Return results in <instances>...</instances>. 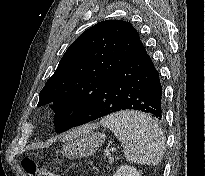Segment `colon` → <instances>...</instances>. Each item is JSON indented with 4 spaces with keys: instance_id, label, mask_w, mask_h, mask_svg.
<instances>
[{
    "instance_id": "5ec220e1",
    "label": "colon",
    "mask_w": 205,
    "mask_h": 176,
    "mask_svg": "<svg viewBox=\"0 0 205 176\" xmlns=\"http://www.w3.org/2000/svg\"><path fill=\"white\" fill-rule=\"evenodd\" d=\"M23 166L30 176H55L46 169L39 167L31 160H26Z\"/></svg>"
}]
</instances>
